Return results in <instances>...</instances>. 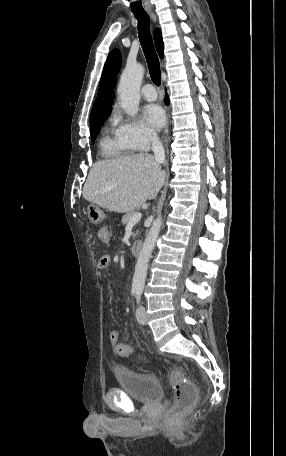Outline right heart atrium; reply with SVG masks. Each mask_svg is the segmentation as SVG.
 I'll return each mask as SVG.
<instances>
[{
  "label": "right heart atrium",
  "mask_w": 286,
  "mask_h": 456,
  "mask_svg": "<svg viewBox=\"0 0 286 456\" xmlns=\"http://www.w3.org/2000/svg\"><path fill=\"white\" fill-rule=\"evenodd\" d=\"M120 131L126 142L136 150H146L157 139L156 133L140 120L119 119Z\"/></svg>",
  "instance_id": "obj_1"
}]
</instances>
